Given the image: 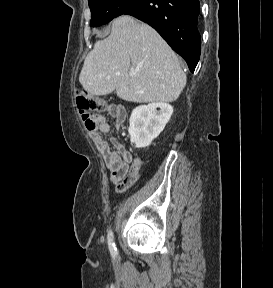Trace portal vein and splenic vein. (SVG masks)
<instances>
[{
  "label": "portal vein and splenic vein",
  "mask_w": 273,
  "mask_h": 288,
  "mask_svg": "<svg viewBox=\"0 0 273 288\" xmlns=\"http://www.w3.org/2000/svg\"><path fill=\"white\" fill-rule=\"evenodd\" d=\"M129 75H130V76H134V75H135V72H130Z\"/></svg>",
  "instance_id": "1"
}]
</instances>
